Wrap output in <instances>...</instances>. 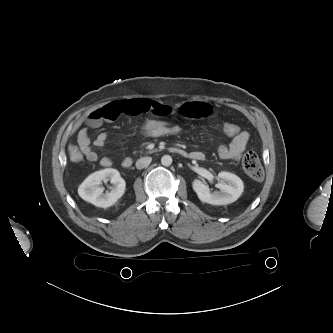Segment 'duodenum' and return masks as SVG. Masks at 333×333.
Here are the masks:
<instances>
[{"label": "duodenum", "instance_id": "duodenum-1", "mask_svg": "<svg viewBox=\"0 0 333 333\" xmlns=\"http://www.w3.org/2000/svg\"><path fill=\"white\" fill-rule=\"evenodd\" d=\"M173 152L175 153H179V154H184V152L178 148H172L171 149ZM122 166L124 168H130L132 166V160L129 157H126L123 161H122Z\"/></svg>", "mask_w": 333, "mask_h": 333}]
</instances>
